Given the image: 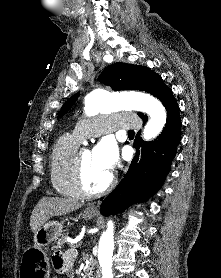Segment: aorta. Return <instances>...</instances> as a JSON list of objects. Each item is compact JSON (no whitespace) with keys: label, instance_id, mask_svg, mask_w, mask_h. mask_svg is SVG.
Instances as JSON below:
<instances>
[{"label":"aorta","instance_id":"762f6f07","mask_svg":"<svg viewBox=\"0 0 221 278\" xmlns=\"http://www.w3.org/2000/svg\"><path fill=\"white\" fill-rule=\"evenodd\" d=\"M120 109H131L144 112L150 119L144 127L143 137L151 140L158 136L166 124V111L156 98L133 93L125 98H115L110 93L96 89L85 97L84 111L87 116H95L101 112H112ZM114 251V224L109 221L107 230L101 235L98 247V260L102 278H113L112 256Z\"/></svg>","mask_w":221,"mask_h":278}]
</instances>
